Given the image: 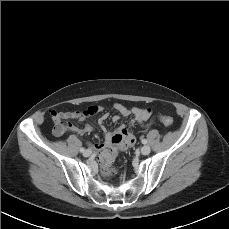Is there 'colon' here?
I'll return each instance as SVG.
<instances>
[{"instance_id": "obj_1", "label": "colon", "mask_w": 229, "mask_h": 229, "mask_svg": "<svg viewBox=\"0 0 229 229\" xmlns=\"http://www.w3.org/2000/svg\"><path fill=\"white\" fill-rule=\"evenodd\" d=\"M150 112L149 109H147ZM98 112L97 106H91L86 112V116L95 115ZM160 121L165 126H171L173 119L170 116L164 115L160 117ZM71 127V123L66 119L65 115L59 114L56 116L55 126L53 132L56 136L62 135ZM124 136L122 134H116L112 138L111 146L104 148L100 155V162L103 166L102 174L105 177H110L114 174L113 164L122 148V141Z\"/></svg>"}]
</instances>
